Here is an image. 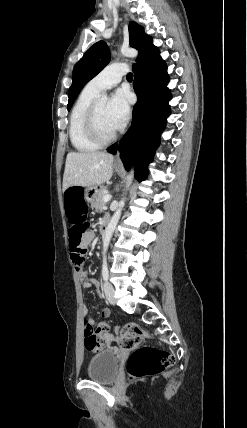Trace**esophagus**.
I'll list each match as a JSON object with an SVG mask.
<instances>
[{
  "label": "esophagus",
  "instance_id": "34e87169",
  "mask_svg": "<svg viewBox=\"0 0 247 428\" xmlns=\"http://www.w3.org/2000/svg\"><path fill=\"white\" fill-rule=\"evenodd\" d=\"M123 59H124V60H127L126 58H123ZM115 163H116L117 165H121V164H122L121 159H120V151H119V150H118V151H117V153H116Z\"/></svg>",
  "mask_w": 247,
  "mask_h": 428
}]
</instances>
